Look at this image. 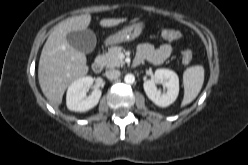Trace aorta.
I'll use <instances>...</instances> for the list:
<instances>
[{"instance_id":"1","label":"aorta","mask_w":248,"mask_h":165,"mask_svg":"<svg viewBox=\"0 0 248 165\" xmlns=\"http://www.w3.org/2000/svg\"><path fill=\"white\" fill-rule=\"evenodd\" d=\"M125 83L133 84L135 82V76L133 74H127L124 78Z\"/></svg>"}]
</instances>
